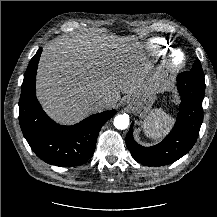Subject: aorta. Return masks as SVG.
Listing matches in <instances>:
<instances>
[{"mask_svg": "<svg viewBox=\"0 0 217 217\" xmlns=\"http://www.w3.org/2000/svg\"><path fill=\"white\" fill-rule=\"evenodd\" d=\"M114 126L119 130H124L129 126V117L127 114H120L114 118Z\"/></svg>", "mask_w": 217, "mask_h": 217, "instance_id": "aorta-1", "label": "aorta"}]
</instances>
